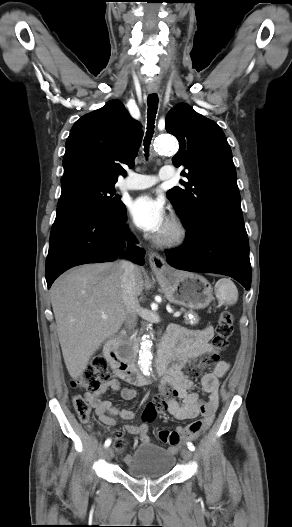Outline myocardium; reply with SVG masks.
Returning <instances> with one entry per match:
<instances>
[{"mask_svg":"<svg viewBox=\"0 0 292 527\" xmlns=\"http://www.w3.org/2000/svg\"><path fill=\"white\" fill-rule=\"evenodd\" d=\"M188 235L185 223L176 216H173L166 229L156 237V242L162 246L172 247L182 244Z\"/></svg>","mask_w":292,"mask_h":527,"instance_id":"obj_1","label":"myocardium"}]
</instances>
